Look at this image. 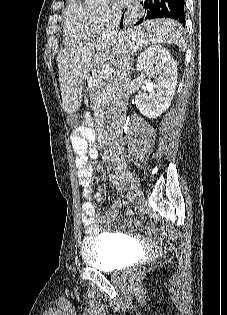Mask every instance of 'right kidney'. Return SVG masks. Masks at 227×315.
I'll return each mask as SVG.
<instances>
[{
	"label": "right kidney",
	"instance_id": "1",
	"mask_svg": "<svg viewBox=\"0 0 227 315\" xmlns=\"http://www.w3.org/2000/svg\"><path fill=\"white\" fill-rule=\"evenodd\" d=\"M137 70L144 75L158 74L155 83H149V95L138 92L134 103L144 116L154 119L171 105L177 85V66L168 49L161 45H150L140 53ZM149 82V80H147ZM146 90V87H143Z\"/></svg>",
	"mask_w": 227,
	"mask_h": 315
}]
</instances>
